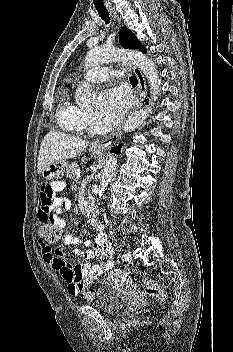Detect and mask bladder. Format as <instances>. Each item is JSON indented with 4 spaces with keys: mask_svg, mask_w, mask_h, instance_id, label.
Wrapping results in <instances>:
<instances>
[{
    "mask_svg": "<svg viewBox=\"0 0 233 352\" xmlns=\"http://www.w3.org/2000/svg\"><path fill=\"white\" fill-rule=\"evenodd\" d=\"M125 302L120 291L109 284H102L96 290L93 306L104 313L115 314L124 307Z\"/></svg>",
    "mask_w": 233,
    "mask_h": 352,
    "instance_id": "31cf9c89",
    "label": "bladder"
}]
</instances>
